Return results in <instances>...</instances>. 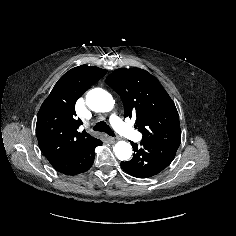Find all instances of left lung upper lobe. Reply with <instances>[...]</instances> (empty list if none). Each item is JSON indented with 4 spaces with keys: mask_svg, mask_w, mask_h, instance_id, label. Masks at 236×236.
I'll return each instance as SVG.
<instances>
[{
    "mask_svg": "<svg viewBox=\"0 0 236 236\" xmlns=\"http://www.w3.org/2000/svg\"><path fill=\"white\" fill-rule=\"evenodd\" d=\"M124 104V117H135L142 141L181 140L179 116L167 92L149 72L117 69L107 79Z\"/></svg>",
    "mask_w": 236,
    "mask_h": 236,
    "instance_id": "left-lung-upper-lobe-1",
    "label": "left lung upper lobe"
}]
</instances>
